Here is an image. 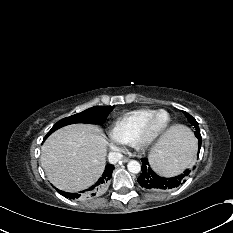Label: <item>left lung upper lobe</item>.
Listing matches in <instances>:
<instances>
[{
	"instance_id": "5c2ea615",
	"label": "left lung upper lobe",
	"mask_w": 233,
	"mask_h": 233,
	"mask_svg": "<svg viewBox=\"0 0 233 233\" xmlns=\"http://www.w3.org/2000/svg\"><path fill=\"white\" fill-rule=\"evenodd\" d=\"M184 114L187 117V119L189 120V122L192 125L195 126V128H196L195 136L198 138V140H201V135H200V130H199L198 122L190 114H188L187 112H184Z\"/></svg>"
}]
</instances>
